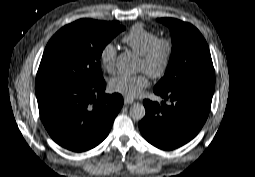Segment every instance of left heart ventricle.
<instances>
[{
  "mask_svg": "<svg viewBox=\"0 0 255 177\" xmlns=\"http://www.w3.org/2000/svg\"><path fill=\"white\" fill-rule=\"evenodd\" d=\"M164 50L162 48L158 49L155 53L152 64H145L141 59L138 65V71L147 72L151 69L157 68L162 60Z\"/></svg>",
  "mask_w": 255,
  "mask_h": 177,
  "instance_id": "left-heart-ventricle-1",
  "label": "left heart ventricle"
}]
</instances>
